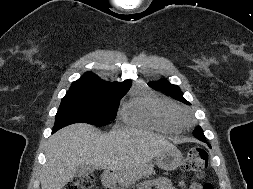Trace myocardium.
I'll return each instance as SVG.
<instances>
[{
	"label": "myocardium",
	"instance_id": "myocardium-1",
	"mask_svg": "<svg viewBox=\"0 0 253 189\" xmlns=\"http://www.w3.org/2000/svg\"><path fill=\"white\" fill-rule=\"evenodd\" d=\"M173 116H174V120H175L176 124L180 128H187L192 123V120H191L189 114L182 109H177L174 112Z\"/></svg>",
	"mask_w": 253,
	"mask_h": 189
}]
</instances>
